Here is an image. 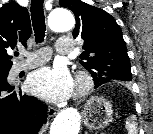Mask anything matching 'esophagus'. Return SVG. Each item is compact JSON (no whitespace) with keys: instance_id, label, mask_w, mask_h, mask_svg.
<instances>
[{"instance_id":"1","label":"esophagus","mask_w":153,"mask_h":134,"mask_svg":"<svg viewBox=\"0 0 153 134\" xmlns=\"http://www.w3.org/2000/svg\"><path fill=\"white\" fill-rule=\"evenodd\" d=\"M57 113V109L54 107H48V115L50 117L54 116Z\"/></svg>"}]
</instances>
